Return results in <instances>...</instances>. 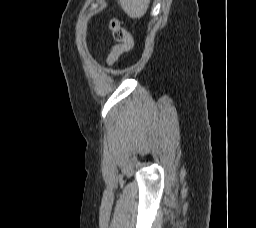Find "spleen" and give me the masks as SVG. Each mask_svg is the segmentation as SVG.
<instances>
[{
  "label": "spleen",
  "instance_id": "obj_1",
  "mask_svg": "<svg viewBox=\"0 0 256 228\" xmlns=\"http://www.w3.org/2000/svg\"><path fill=\"white\" fill-rule=\"evenodd\" d=\"M118 2L129 17L139 19L146 13L150 0H118Z\"/></svg>",
  "mask_w": 256,
  "mask_h": 228
}]
</instances>
